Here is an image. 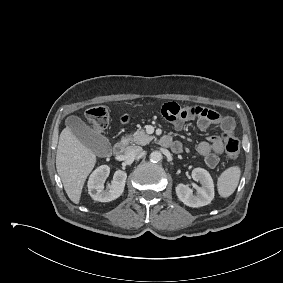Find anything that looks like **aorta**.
Here are the masks:
<instances>
[{"label": "aorta", "mask_w": 283, "mask_h": 283, "mask_svg": "<svg viewBox=\"0 0 283 283\" xmlns=\"http://www.w3.org/2000/svg\"><path fill=\"white\" fill-rule=\"evenodd\" d=\"M149 158L152 162H159L162 160V153L160 151H153Z\"/></svg>", "instance_id": "aorta-1"}]
</instances>
